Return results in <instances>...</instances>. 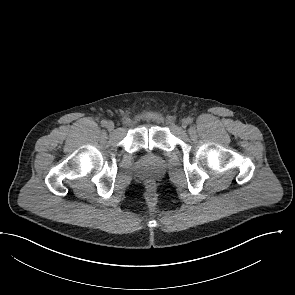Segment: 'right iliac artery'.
<instances>
[{"label": "right iliac artery", "instance_id": "82829eb1", "mask_svg": "<svg viewBox=\"0 0 295 295\" xmlns=\"http://www.w3.org/2000/svg\"><path fill=\"white\" fill-rule=\"evenodd\" d=\"M106 124H107V121L106 120H102L101 121V125L104 127V126H106Z\"/></svg>", "mask_w": 295, "mask_h": 295}]
</instances>
